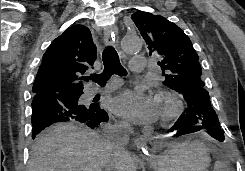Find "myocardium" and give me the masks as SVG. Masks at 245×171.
Here are the masks:
<instances>
[{"instance_id":"f54148a6","label":"myocardium","mask_w":245,"mask_h":171,"mask_svg":"<svg viewBox=\"0 0 245 171\" xmlns=\"http://www.w3.org/2000/svg\"><path fill=\"white\" fill-rule=\"evenodd\" d=\"M157 99L163 103V111L161 113V124L166 125L175 120L183 110V101L179 94L173 91H159Z\"/></svg>"}]
</instances>
